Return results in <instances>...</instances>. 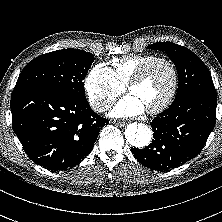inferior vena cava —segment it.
Returning <instances> with one entry per match:
<instances>
[{
  "instance_id": "1",
  "label": "inferior vena cava",
  "mask_w": 222,
  "mask_h": 222,
  "mask_svg": "<svg viewBox=\"0 0 222 222\" xmlns=\"http://www.w3.org/2000/svg\"><path fill=\"white\" fill-rule=\"evenodd\" d=\"M105 109H107V106H103L100 108V110L104 111Z\"/></svg>"
}]
</instances>
